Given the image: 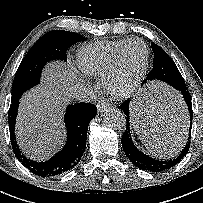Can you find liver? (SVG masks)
I'll return each mask as SVG.
<instances>
[{"label": "liver", "mask_w": 203, "mask_h": 203, "mask_svg": "<svg viewBox=\"0 0 203 203\" xmlns=\"http://www.w3.org/2000/svg\"><path fill=\"white\" fill-rule=\"evenodd\" d=\"M61 64L53 63L43 74L41 86L27 92L20 103L16 136L24 153L37 161L44 160L63 139L62 109L73 88ZM179 103V102H178ZM150 108V110H148ZM181 113V115H180ZM133 125L143 142L155 153L173 144L184 135L188 118L183 108L170 105L167 111L153 109L149 102L133 106Z\"/></svg>", "instance_id": "obj_1"}]
</instances>
